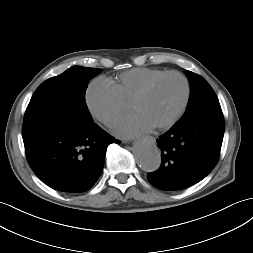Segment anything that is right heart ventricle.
<instances>
[{
  "label": "right heart ventricle",
  "mask_w": 253,
  "mask_h": 253,
  "mask_svg": "<svg viewBox=\"0 0 253 253\" xmlns=\"http://www.w3.org/2000/svg\"><path fill=\"white\" fill-rule=\"evenodd\" d=\"M166 72L161 69L139 67L121 73L111 81L125 103L130 102L133 96L151 79Z\"/></svg>",
  "instance_id": "1"
}]
</instances>
